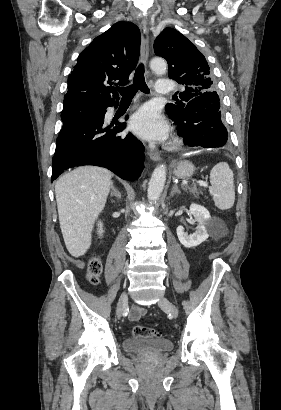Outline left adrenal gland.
Returning a JSON list of instances; mask_svg holds the SVG:
<instances>
[{
    "instance_id": "a2214340",
    "label": "left adrenal gland",
    "mask_w": 281,
    "mask_h": 410,
    "mask_svg": "<svg viewBox=\"0 0 281 410\" xmlns=\"http://www.w3.org/2000/svg\"><path fill=\"white\" fill-rule=\"evenodd\" d=\"M180 194L181 192H180V190L178 189V186H177V184H174L173 185V188H172V191L170 192V196L172 197V196H174V194Z\"/></svg>"
}]
</instances>
